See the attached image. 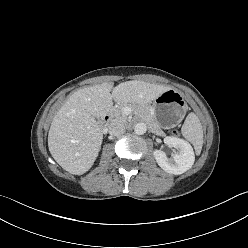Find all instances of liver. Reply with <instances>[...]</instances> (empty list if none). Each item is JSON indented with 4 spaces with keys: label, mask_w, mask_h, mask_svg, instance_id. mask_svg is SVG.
<instances>
[{
    "label": "liver",
    "mask_w": 248,
    "mask_h": 248,
    "mask_svg": "<svg viewBox=\"0 0 248 248\" xmlns=\"http://www.w3.org/2000/svg\"><path fill=\"white\" fill-rule=\"evenodd\" d=\"M167 90L163 85L133 80L116 87L106 82L75 91L52 120L48 133L52 157L71 174L86 173L94 164L103 140L102 127L96 118L110 111L113 100L118 104L141 105Z\"/></svg>",
    "instance_id": "1"
}]
</instances>
